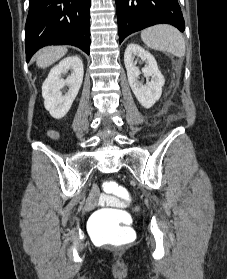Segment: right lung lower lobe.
<instances>
[{
    "instance_id": "98d812e1",
    "label": "right lung lower lobe",
    "mask_w": 227,
    "mask_h": 279,
    "mask_svg": "<svg viewBox=\"0 0 227 279\" xmlns=\"http://www.w3.org/2000/svg\"><path fill=\"white\" fill-rule=\"evenodd\" d=\"M26 60L47 45H73L90 53V0H29Z\"/></svg>"
}]
</instances>
